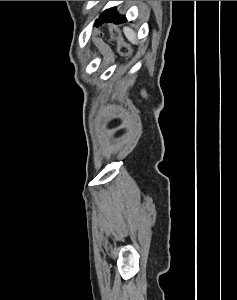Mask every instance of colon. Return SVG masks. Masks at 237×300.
Returning a JSON list of instances; mask_svg holds the SVG:
<instances>
[{
  "mask_svg": "<svg viewBox=\"0 0 237 300\" xmlns=\"http://www.w3.org/2000/svg\"><path fill=\"white\" fill-rule=\"evenodd\" d=\"M109 31H110L111 36L114 39H116L118 42V51H119L120 55L123 57H126L130 52V48L126 43H124L121 40L116 26L110 25ZM93 42L98 47V49L103 53L105 60L108 61L109 60V52L107 51V48H106L105 44L103 43V41L101 40V38L99 36H94Z\"/></svg>",
  "mask_w": 237,
  "mask_h": 300,
  "instance_id": "5ec220e1",
  "label": "colon"
}]
</instances>
